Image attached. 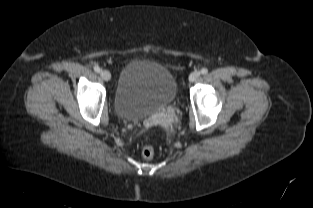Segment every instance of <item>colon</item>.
I'll list each match as a JSON object with an SVG mask.
<instances>
[{"label": "colon", "mask_w": 313, "mask_h": 208, "mask_svg": "<svg viewBox=\"0 0 313 208\" xmlns=\"http://www.w3.org/2000/svg\"><path fill=\"white\" fill-rule=\"evenodd\" d=\"M155 154V149L153 146L151 145H145L143 146L142 150H141V155L144 159H152L154 157Z\"/></svg>", "instance_id": "colon-1"}]
</instances>
